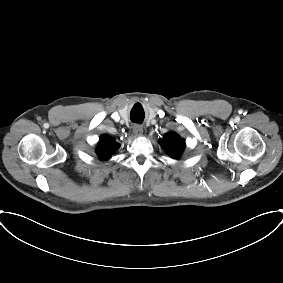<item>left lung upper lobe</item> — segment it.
Returning <instances> with one entry per match:
<instances>
[{
  "mask_svg": "<svg viewBox=\"0 0 283 283\" xmlns=\"http://www.w3.org/2000/svg\"><path fill=\"white\" fill-rule=\"evenodd\" d=\"M160 144L166 150V152L173 157L180 155L185 147V141L174 132L167 133L160 141Z\"/></svg>",
  "mask_w": 283,
  "mask_h": 283,
  "instance_id": "1",
  "label": "left lung upper lobe"
}]
</instances>
